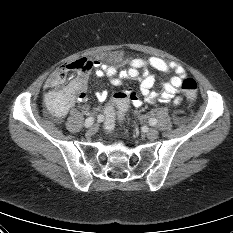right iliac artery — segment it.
Masks as SVG:
<instances>
[{"label": "right iliac artery", "instance_id": "right-iliac-artery-1", "mask_svg": "<svg viewBox=\"0 0 233 233\" xmlns=\"http://www.w3.org/2000/svg\"><path fill=\"white\" fill-rule=\"evenodd\" d=\"M93 123H94V118L93 117H89V118H87L86 120H85V127H90L91 125H93Z\"/></svg>", "mask_w": 233, "mask_h": 233}]
</instances>
